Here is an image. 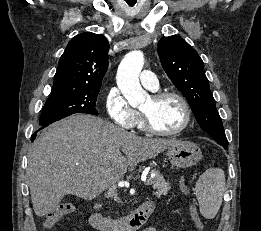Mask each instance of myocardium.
Masks as SVG:
<instances>
[{
	"label": "myocardium",
	"instance_id": "f54148a6",
	"mask_svg": "<svg viewBox=\"0 0 261 231\" xmlns=\"http://www.w3.org/2000/svg\"><path fill=\"white\" fill-rule=\"evenodd\" d=\"M169 97L176 98L180 102V104L183 108L184 120H183L182 125L173 131H162L154 125L150 115L147 112L140 110L143 126L148 132L158 135V136H175V135H178V134L182 133L183 131H185L187 129V127L189 126V124L191 122V116H192L191 108H190L188 101L186 100V98L183 95H181L177 92H174V91H162V92L154 93L151 96V99L154 102H159V101H161L165 98H169Z\"/></svg>",
	"mask_w": 261,
	"mask_h": 231
}]
</instances>
